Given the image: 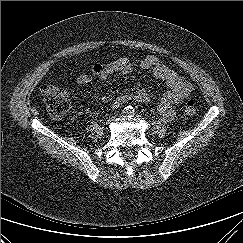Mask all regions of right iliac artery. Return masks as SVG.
<instances>
[{"label": "right iliac artery", "mask_w": 243, "mask_h": 243, "mask_svg": "<svg viewBox=\"0 0 243 243\" xmlns=\"http://www.w3.org/2000/svg\"><path fill=\"white\" fill-rule=\"evenodd\" d=\"M127 115H128V110L123 111L122 117H127Z\"/></svg>", "instance_id": "obj_1"}]
</instances>
